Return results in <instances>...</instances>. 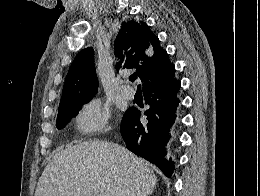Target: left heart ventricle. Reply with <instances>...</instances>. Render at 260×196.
<instances>
[{"mask_svg": "<svg viewBox=\"0 0 260 196\" xmlns=\"http://www.w3.org/2000/svg\"><path fill=\"white\" fill-rule=\"evenodd\" d=\"M97 192H108L109 190H96ZM54 192H64V190H54Z\"/></svg>", "mask_w": 260, "mask_h": 196, "instance_id": "left-heart-ventricle-1", "label": "left heart ventricle"}]
</instances>
